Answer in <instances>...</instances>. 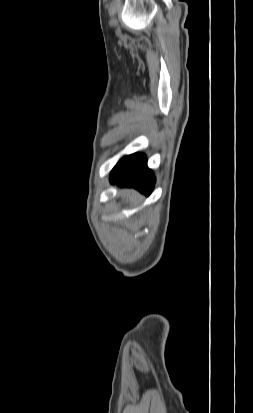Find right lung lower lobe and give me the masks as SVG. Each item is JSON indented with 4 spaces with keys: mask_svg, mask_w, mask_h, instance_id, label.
Listing matches in <instances>:
<instances>
[{
    "mask_svg": "<svg viewBox=\"0 0 253 413\" xmlns=\"http://www.w3.org/2000/svg\"><path fill=\"white\" fill-rule=\"evenodd\" d=\"M111 183L134 187L149 196L155 184L153 172L147 167L144 154L135 153L123 157L111 172Z\"/></svg>",
    "mask_w": 253,
    "mask_h": 413,
    "instance_id": "98d812e1",
    "label": "right lung lower lobe"
}]
</instances>
